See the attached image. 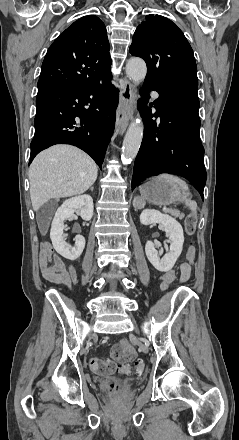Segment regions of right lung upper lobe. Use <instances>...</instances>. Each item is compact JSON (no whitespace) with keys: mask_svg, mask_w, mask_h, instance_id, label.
<instances>
[{"mask_svg":"<svg viewBox=\"0 0 239 440\" xmlns=\"http://www.w3.org/2000/svg\"><path fill=\"white\" fill-rule=\"evenodd\" d=\"M109 42L104 23L94 15L75 21L48 49L38 91L85 85L111 74Z\"/></svg>","mask_w":239,"mask_h":440,"instance_id":"cb5924a9","label":"right lung upper lobe"}]
</instances>
